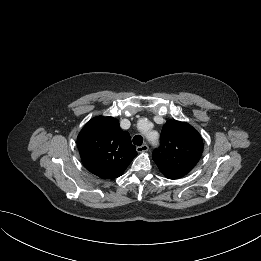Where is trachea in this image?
<instances>
[{
	"instance_id": "1",
	"label": "trachea",
	"mask_w": 261,
	"mask_h": 261,
	"mask_svg": "<svg viewBox=\"0 0 261 261\" xmlns=\"http://www.w3.org/2000/svg\"><path fill=\"white\" fill-rule=\"evenodd\" d=\"M143 143V137L140 135H136L133 137V144L137 146H141Z\"/></svg>"
}]
</instances>
